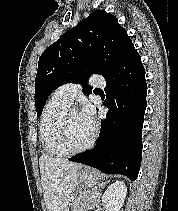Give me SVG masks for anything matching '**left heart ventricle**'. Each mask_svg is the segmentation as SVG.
I'll return each instance as SVG.
<instances>
[{
    "mask_svg": "<svg viewBox=\"0 0 178 211\" xmlns=\"http://www.w3.org/2000/svg\"><path fill=\"white\" fill-rule=\"evenodd\" d=\"M93 128L89 127L79 113H72L68 119L67 142L70 148L78 149L88 143Z\"/></svg>",
    "mask_w": 178,
    "mask_h": 211,
    "instance_id": "1",
    "label": "left heart ventricle"
}]
</instances>
